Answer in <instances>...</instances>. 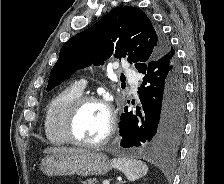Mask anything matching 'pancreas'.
Segmentation results:
<instances>
[{
  "label": "pancreas",
  "instance_id": "cf45deb5",
  "mask_svg": "<svg viewBox=\"0 0 224 184\" xmlns=\"http://www.w3.org/2000/svg\"><path fill=\"white\" fill-rule=\"evenodd\" d=\"M82 184H96L95 180H88V181H84Z\"/></svg>",
  "mask_w": 224,
  "mask_h": 184
}]
</instances>
